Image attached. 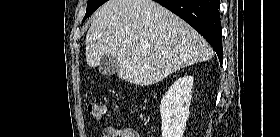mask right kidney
Instances as JSON below:
<instances>
[{
  "instance_id": "obj_1",
  "label": "right kidney",
  "mask_w": 280,
  "mask_h": 137,
  "mask_svg": "<svg viewBox=\"0 0 280 137\" xmlns=\"http://www.w3.org/2000/svg\"><path fill=\"white\" fill-rule=\"evenodd\" d=\"M194 78L184 76L174 82L161 100L162 137H183L192 98Z\"/></svg>"
}]
</instances>
